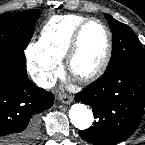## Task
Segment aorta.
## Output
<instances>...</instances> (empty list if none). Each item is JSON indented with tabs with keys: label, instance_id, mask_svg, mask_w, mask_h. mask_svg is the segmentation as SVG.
I'll return each mask as SVG.
<instances>
[{
	"label": "aorta",
	"instance_id": "obj_1",
	"mask_svg": "<svg viewBox=\"0 0 145 145\" xmlns=\"http://www.w3.org/2000/svg\"><path fill=\"white\" fill-rule=\"evenodd\" d=\"M69 118L71 123L80 130L88 129L94 120L92 111L84 104H74L69 110Z\"/></svg>",
	"mask_w": 145,
	"mask_h": 145
}]
</instances>
